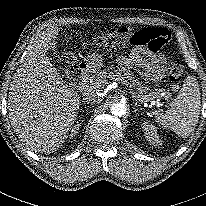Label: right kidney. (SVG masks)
<instances>
[{"mask_svg":"<svg viewBox=\"0 0 206 206\" xmlns=\"http://www.w3.org/2000/svg\"><path fill=\"white\" fill-rule=\"evenodd\" d=\"M81 126V123L77 122V124H75L71 130V135L70 136H73L74 134H76L77 130H79V127Z\"/></svg>","mask_w":206,"mask_h":206,"instance_id":"obj_1","label":"right kidney"}]
</instances>
